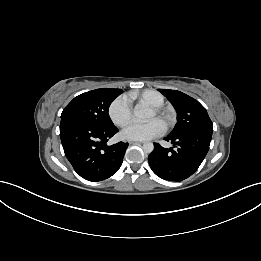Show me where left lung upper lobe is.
<instances>
[{
	"mask_svg": "<svg viewBox=\"0 0 261 261\" xmlns=\"http://www.w3.org/2000/svg\"><path fill=\"white\" fill-rule=\"evenodd\" d=\"M158 90L172 102L177 111L178 122L171 135L200 129L213 130L206 109L197 100L177 90Z\"/></svg>",
	"mask_w": 261,
	"mask_h": 261,
	"instance_id": "left-lung-upper-lobe-1",
	"label": "left lung upper lobe"
}]
</instances>
